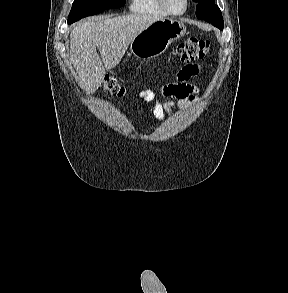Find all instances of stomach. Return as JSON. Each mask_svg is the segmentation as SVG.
Masks as SVG:
<instances>
[{"mask_svg": "<svg viewBox=\"0 0 288 293\" xmlns=\"http://www.w3.org/2000/svg\"><path fill=\"white\" fill-rule=\"evenodd\" d=\"M185 33L186 27L181 21L173 18L157 20L134 37L130 43L131 53L139 59L159 56Z\"/></svg>", "mask_w": 288, "mask_h": 293, "instance_id": "obj_1", "label": "stomach"}]
</instances>
